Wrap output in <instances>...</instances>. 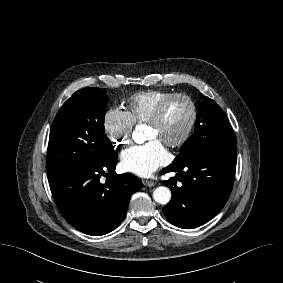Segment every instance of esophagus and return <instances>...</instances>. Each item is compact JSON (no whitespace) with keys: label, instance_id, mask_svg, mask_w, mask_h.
I'll return each instance as SVG.
<instances>
[{"label":"esophagus","instance_id":"1","mask_svg":"<svg viewBox=\"0 0 283 283\" xmlns=\"http://www.w3.org/2000/svg\"><path fill=\"white\" fill-rule=\"evenodd\" d=\"M143 184L147 187H153L155 186V182L154 181H151V180H143Z\"/></svg>","mask_w":283,"mask_h":283}]
</instances>
